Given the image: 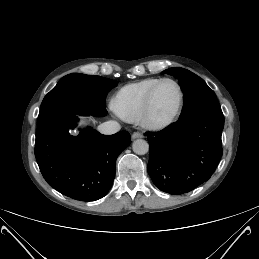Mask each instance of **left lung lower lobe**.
I'll use <instances>...</instances> for the list:
<instances>
[{"instance_id": "1", "label": "left lung lower lobe", "mask_w": 259, "mask_h": 259, "mask_svg": "<svg viewBox=\"0 0 259 259\" xmlns=\"http://www.w3.org/2000/svg\"><path fill=\"white\" fill-rule=\"evenodd\" d=\"M222 110L182 118L159 132L146 133L150 145L148 173L161 191L180 195L206 182L223 154Z\"/></svg>"}]
</instances>
